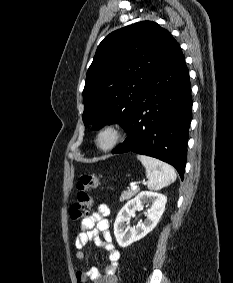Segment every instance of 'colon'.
<instances>
[{
  "label": "colon",
  "mask_w": 233,
  "mask_h": 283,
  "mask_svg": "<svg viewBox=\"0 0 233 283\" xmlns=\"http://www.w3.org/2000/svg\"><path fill=\"white\" fill-rule=\"evenodd\" d=\"M100 181L94 175H82L77 182V200L70 206V217L73 220L86 218L93 205L92 190L99 187Z\"/></svg>",
  "instance_id": "obj_1"
}]
</instances>
